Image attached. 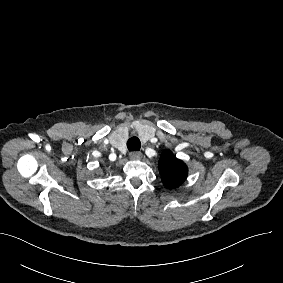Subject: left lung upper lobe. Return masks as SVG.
I'll return each instance as SVG.
<instances>
[{"mask_svg":"<svg viewBox=\"0 0 283 283\" xmlns=\"http://www.w3.org/2000/svg\"><path fill=\"white\" fill-rule=\"evenodd\" d=\"M159 173L163 184L174 189L183 184L188 175L186 164L177 159L169 150H165L158 163Z\"/></svg>","mask_w":283,"mask_h":283,"instance_id":"left-lung-upper-lobe-1","label":"left lung upper lobe"}]
</instances>
